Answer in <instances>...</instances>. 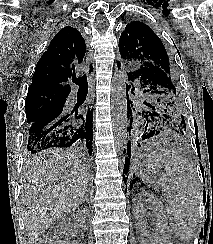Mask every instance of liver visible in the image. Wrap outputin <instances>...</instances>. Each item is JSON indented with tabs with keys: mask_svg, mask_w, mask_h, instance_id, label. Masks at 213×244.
Instances as JSON below:
<instances>
[{
	"mask_svg": "<svg viewBox=\"0 0 213 244\" xmlns=\"http://www.w3.org/2000/svg\"><path fill=\"white\" fill-rule=\"evenodd\" d=\"M88 166L74 149H48L34 155L21 184L22 216L30 244L83 201Z\"/></svg>",
	"mask_w": 213,
	"mask_h": 244,
	"instance_id": "obj_1",
	"label": "liver"
}]
</instances>
